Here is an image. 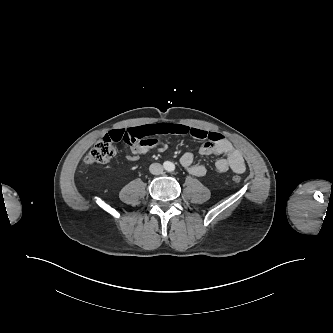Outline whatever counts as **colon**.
Segmentation results:
<instances>
[{"instance_id": "5ec220e1", "label": "colon", "mask_w": 333, "mask_h": 333, "mask_svg": "<svg viewBox=\"0 0 333 333\" xmlns=\"http://www.w3.org/2000/svg\"><path fill=\"white\" fill-rule=\"evenodd\" d=\"M112 142V139L109 137H103L100 139L86 155L84 163L86 165L108 163L115 153ZM233 180L235 182H240V177L234 176Z\"/></svg>"}]
</instances>
